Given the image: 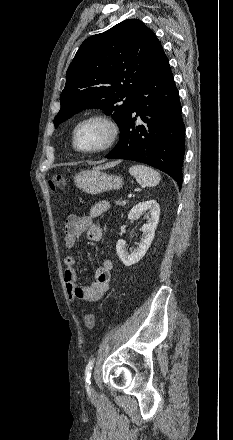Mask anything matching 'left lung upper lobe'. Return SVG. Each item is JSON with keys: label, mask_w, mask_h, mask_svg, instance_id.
<instances>
[{"label": "left lung upper lobe", "mask_w": 233, "mask_h": 440, "mask_svg": "<svg viewBox=\"0 0 233 440\" xmlns=\"http://www.w3.org/2000/svg\"><path fill=\"white\" fill-rule=\"evenodd\" d=\"M162 52L153 31L138 19L86 39L67 70L55 128L84 109L99 108L111 114L121 130L135 93Z\"/></svg>", "instance_id": "left-lung-upper-lobe-1"}]
</instances>
